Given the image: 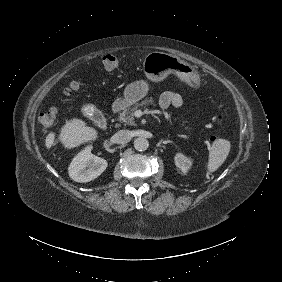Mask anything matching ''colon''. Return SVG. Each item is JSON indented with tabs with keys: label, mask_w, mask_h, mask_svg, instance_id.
<instances>
[{
	"label": "colon",
	"mask_w": 282,
	"mask_h": 282,
	"mask_svg": "<svg viewBox=\"0 0 282 282\" xmlns=\"http://www.w3.org/2000/svg\"><path fill=\"white\" fill-rule=\"evenodd\" d=\"M102 65L106 70H116L122 66V59L118 55L115 54H106L102 59ZM74 87L71 85L70 87H66L63 90L64 95H68L73 91ZM57 117V106H52L48 108L39 118V125L41 130L44 133L50 132L56 122ZM217 124H221L223 122V115L218 114L216 116ZM216 136H210V140L214 141Z\"/></svg>",
	"instance_id": "5ec220e1"
}]
</instances>
